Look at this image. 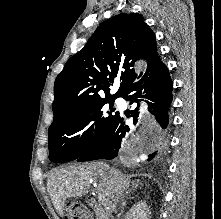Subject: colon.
I'll use <instances>...</instances> for the list:
<instances>
[{"label":"colon","mask_w":221,"mask_h":219,"mask_svg":"<svg viewBox=\"0 0 221 219\" xmlns=\"http://www.w3.org/2000/svg\"><path fill=\"white\" fill-rule=\"evenodd\" d=\"M66 219H82L84 218L83 209L77 204H69L66 208Z\"/></svg>","instance_id":"obj_1"}]
</instances>
